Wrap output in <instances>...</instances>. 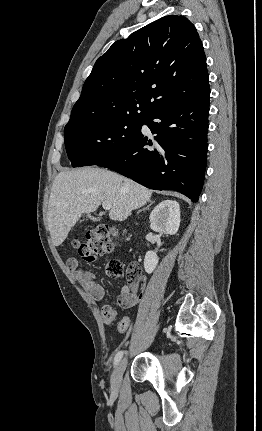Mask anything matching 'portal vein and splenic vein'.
I'll use <instances>...</instances> for the list:
<instances>
[{
	"instance_id": "18ae733b",
	"label": "portal vein and splenic vein",
	"mask_w": 262,
	"mask_h": 431,
	"mask_svg": "<svg viewBox=\"0 0 262 431\" xmlns=\"http://www.w3.org/2000/svg\"><path fill=\"white\" fill-rule=\"evenodd\" d=\"M102 207L105 209V210H110L111 209V203L110 202H108V201H104V202H102Z\"/></svg>"
}]
</instances>
